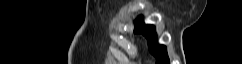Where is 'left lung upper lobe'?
Segmentation results:
<instances>
[{"label": "left lung upper lobe", "instance_id": "obj_1", "mask_svg": "<svg viewBox=\"0 0 242 64\" xmlns=\"http://www.w3.org/2000/svg\"><path fill=\"white\" fill-rule=\"evenodd\" d=\"M141 18L140 16L135 21L134 32L141 33L148 39L149 50L155 56L156 64H170L166 46L158 44L155 27L145 25Z\"/></svg>", "mask_w": 242, "mask_h": 64}]
</instances>
